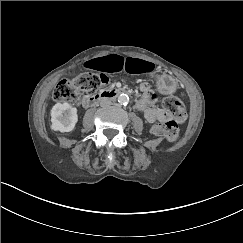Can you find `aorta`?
Listing matches in <instances>:
<instances>
[{"label": "aorta", "instance_id": "762f6f07", "mask_svg": "<svg viewBox=\"0 0 243 243\" xmlns=\"http://www.w3.org/2000/svg\"><path fill=\"white\" fill-rule=\"evenodd\" d=\"M128 101H129V97H128V95H126V94H120L119 96H118V102L120 103V104H127L128 103Z\"/></svg>", "mask_w": 243, "mask_h": 243}]
</instances>
